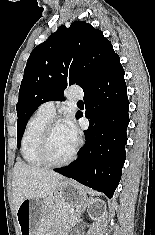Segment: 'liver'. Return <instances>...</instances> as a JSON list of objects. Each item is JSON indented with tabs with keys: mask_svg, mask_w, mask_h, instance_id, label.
<instances>
[{
	"mask_svg": "<svg viewBox=\"0 0 155 235\" xmlns=\"http://www.w3.org/2000/svg\"><path fill=\"white\" fill-rule=\"evenodd\" d=\"M64 177L52 170L28 165L17 161L13 169V201L15 210L26 199H48L56 190L57 184Z\"/></svg>",
	"mask_w": 155,
	"mask_h": 235,
	"instance_id": "1",
	"label": "liver"
}]
</instances>
